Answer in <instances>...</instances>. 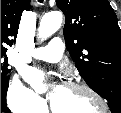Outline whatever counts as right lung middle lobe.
<instances>
[{
  "instance_id": "right-lung-middle-lobe-1",
  "label": "right lung middle lobe",
  "mask_w": 121,
  "mask_h": 113,
  "mask_svg": "<svg viewBox=\"0 0 121 113\" xmlns=\"http://www.w3.org/2000/svg\"><path fill=\"white\" fill-rule=\"evenodd\" d=\"M7 66L8 63L6 52H1V94L7 92L8 88V74L11 71V69H8Z\"/></svg>"
}]
</instances>
